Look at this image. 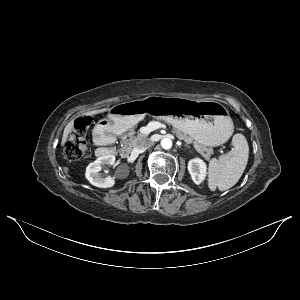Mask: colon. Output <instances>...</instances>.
Segmentation results:
<instances>
[{"mask_svg":"<svg viewBox=\"0 0 300 300\" xmlns=\"http://www.w3.org/2000/svg\"><path fill=\"white\" fill-rule=\"evenodd\" d=\"M90 125V119L83 117L74 124V129L65 144V155L71 160L80 159L87 149V132Z\"/></svg>","mask_w":300,"mask_h":300,"instance_id":"1","label":"colon"}]
</instances>
